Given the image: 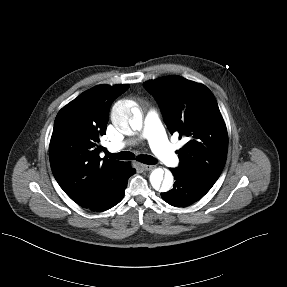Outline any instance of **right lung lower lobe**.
Returning <instances> with one entry per match:
<instances>
[{"label":"right lung lower lobe","mask_w":287,"mask_h":287,"mask_svg":"<svg viewBox=\"0 0 287 287\" xmlns=\"http://www.w3.org/2000/svg\"><path fill=\"white\" fill-rule=\"evenodd\" d=\"M135 172L136 170L130 167V165L127 163L125 174L112 185H110L105 194L96 203L86 208L93 211L102 212L118 204L124 196L128 178L135 174Z\"/></svg>","instance_id":"1"}]
</instances>
